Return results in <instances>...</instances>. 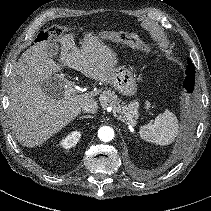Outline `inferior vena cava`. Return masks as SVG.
I'll return each mask as SVG.
<instances>
[{"instance_id":"602c4592","label":"inferior vena cava","mask_w":211,"mask_h":211,"mask_svg":"<svg viewBox=\"0 0 211 211\" xmlns=\"http://www.w3.org/2000/svg\"><path fill=\"white\" fill-rule=\"evenodd\" d=\"M97 103L95 102H91V103H86L85 105H83L82 107V111L85 113H96L97 112Z\"/></svg>"}]
</instances>
